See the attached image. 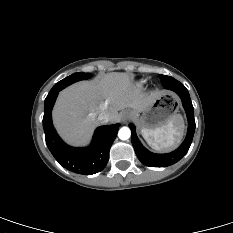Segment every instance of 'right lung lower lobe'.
I'll use <instances>...</instances> for the list:
<instances>
[{
    "label": "right lung lower lobe",
    "mask_w": 233,
    "mask_h": 233,
    "mask_svg": "<svg viewBox=\"0 0 233 233\" xmlns=\"http://www.w3.org/2000/svg\"><path fill=\"white\" fill-rule=\"evenodd\" d=\"M59 91L49 93L44 103L43 128L46 144L55 159L66 169L92 175L102 171L109 159V149L116 138L119 123L100 126L95 130L92 144L87 148H74L65 144L52 124V108Z\"/></svg>",
    "instance_id": "1"
}]
</instances>
